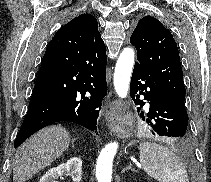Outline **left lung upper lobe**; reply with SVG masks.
<instances>
[{"label":"left lung upper lobe","mask_w":211,"mask_h":182,"mask_svg":"<svg viewBox=\"0 0 211 182\" xmlns=\"http://www.w3.org/2000/svg\"><path fill=\"white\" fill-rule=\"evenodd\" d=\"M139 66L164 92L185 106V87L177 43L171 32L152 16L139 22L130 38Z\"/></svg>","instance_id":"1"}]
</instances>
